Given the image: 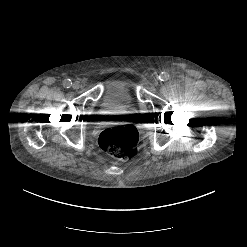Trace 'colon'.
Here are the masks:
<instances>
[{"instance_id":"obj_1","label":"colon","mask_w":247,"mask_h":247,"mask_svg":"<svg viewBox=\"0 0 247 247\" xmlns=\"http://www.w3.org/2000/svg\"><path fill=\"white\" fill-rule=\"evenodd\" d=\"M103 151L119 160L133 157L138 150V132L130 125L105 129L98 139Z\"/></svg>"}]
</instances>
